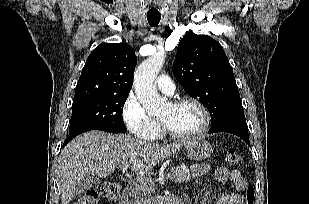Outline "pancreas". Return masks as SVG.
<instances>
[{
  "instance_id": "obj_1",
  "label": "pancreas",
  "mask_w": 309,
  "mask_h": 204,
  "mask_svg": "<svg viewBox=\"0 0 309 204\" xmlns=\"http://www.w3.org/2000/svg\"><path fill=\"white\" fill-rule=\"evenodd\" d=\"M170 178L176 182L183 183L188 182L192 179L188 169H182L180 167H171L169 172ZM154 190V183L151 179L146 178L136 186V192L141 196H146Z\"/></svg>"
}]
</instances>
